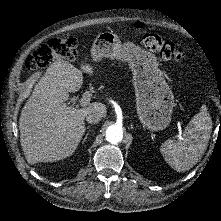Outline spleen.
I'll return each instance as SVG.
<instances>
[{"label": "spleen", "instance_id": "1", "mask_svg": "<svg viewBox=\"0 0 221 221\" xmlns=\"http://www.w3.org/2000/svg\"><path fill=\"white\" fill-rule=\"evenodd\" d=\"M211 132L212 118L208 107L203 104L185 127L182 137L164 142L161 147L162 154L173 169L188 171L205 153Z\"/></svg>", "mask_w": 221, "mask_h": 221}]
</instances>
